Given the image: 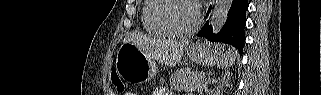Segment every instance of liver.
<instances>
[{
  "mask_svg": "<svg viewBox=\"0 0 321 95\" xmlns=\"http://www.w3.org/2000/svg\"><path fill=\"white\" fill-rule=\"evenodd\" d=\"M124 43H132L151 58L159 60L168 66H176L189 44V40H155L140 32L128 33Z\"/></svg>",
  "mask_w": 321,
  "mask_h": 95,
  "instance_id": "obj_1",
  "label": "liver"
}]
</instances>
